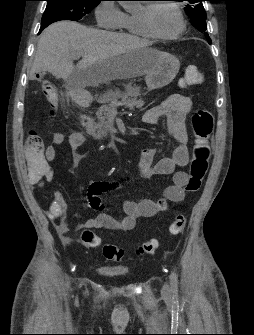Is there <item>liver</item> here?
<instances>
[{"instance_id": "obj_1", "label": "liver", "mask_w": 254, "mask_h": 335, "mask_svg": "<svg viewBox=\"0 0 254 335\" xmlns=\"http://www.w3.org/2000/svg\"><path fill=\"white\" fill-rule=\"evenodd\" d=\"M149 44L132 35L59 21L48 26L38 41L31 78L48 71L85 87L143 76L154 64ZM76 54L82 59L75 66Z\"/></svg>"}]
</instances>
